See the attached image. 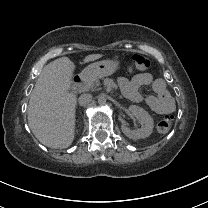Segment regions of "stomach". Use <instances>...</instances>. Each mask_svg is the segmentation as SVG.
<instances>
[{"label":"stomach","mask_w":208,"mask_h":208,"mask_svg":"<svg viewBox=\"0 0 208 208\" xmlns=\"http://www.w3.org/2000/svg\"><path fill=\"white\" fill-rule=\"evenodd\" d=\"M122 60L119 57L105 59L88 65L81 76L89 79H98L111 76L119 71Z\"/></svg>","instance_id":"1"}]
</instances>
